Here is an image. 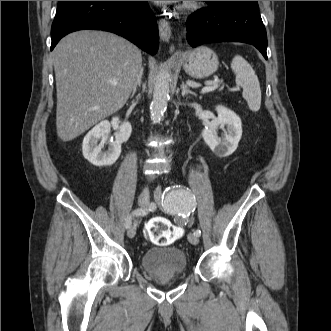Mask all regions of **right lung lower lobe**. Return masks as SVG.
Here are the masks:
<instances>
[{"label":"right lung lower lobe","instance_id":"1","mask_svg":"<svg viewBox=\"0 0 331 331\" xmlns=\"http://www.w3.org/2000/svg\"><path fill=\"white\" fill-rule=\"evenodd\" d=\"M95 29L125 37L156 54L159 34L147 1H59L51 29V50L68 33Z\"/></svg>","mask_w":331,"mask_h":331}]
</instances>
